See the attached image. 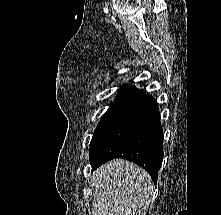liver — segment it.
Here are the masks:
<instances>
[{
    "label": "liver",
    "instance_id": "1",
    "mask_svg": "<svg viewBox=\"0 0 221 215\" xmlns=\"http://www.w3.org/2000/svg\"><path fill=\"white\" fill-rule=\"evenodd\" d=\"M93 180V215H146L153 185L143 168L118 158L97 169Z\"/></svg>",
    "mask_w": 221,
    "mask_h": 215
}]
</instances>
